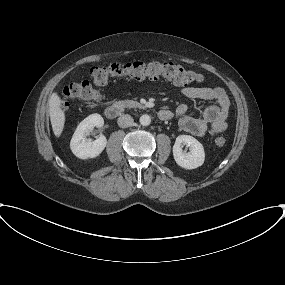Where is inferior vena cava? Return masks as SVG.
Returning <instances> with one entry per match:
<instances>
[{
  "mask_svg": "<svg viewBox=\"0 0 285 285\" xmlns=\"http://www.w3.org/2000/svg\"><path fill=\"white\" fill-rule=\"evenodd\" d=\"M134 120L129 114L120 115L118 118V126L121 128H127L133 124Z\"/></svg>",
  "mask_w": 285,
  "mask_h": 285,
  "instance_id": "obj_1",
  "label": "inferior vena cava"
}]
</instances>
